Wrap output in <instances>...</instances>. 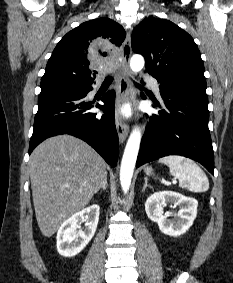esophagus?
<instances>
[{"label": "esophagus", "instance_id": "obj_1", "mask_svg": "<svg viewBox=\"0 0 233 283\" xmlns=\"http://www.w3.org/2000/svg\"><path fill=\"white\" fill-rule=\"evenodd\" d=\"M132 54L131 47V33L127 32L126 39L122 45V69L118 80V95L117 105L120 106L128 99V74H129V61ZM116 129L121 143H123L128 136V124L121 115L116 116Z\"/></svg>", "mask_w": 233, "mask_h": 283}]
</instances>
